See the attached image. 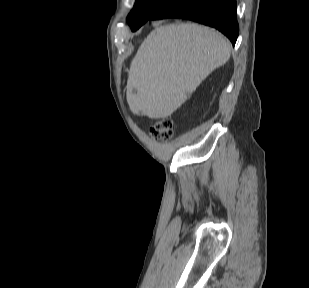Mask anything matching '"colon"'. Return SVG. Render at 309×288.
I'll return each instance as SVG.
<instances>
[{
  "label": "colon",
  "instance_id": "5ec220e1",
  "mask_svg": "<svg viewBox=\"0 0 309 288\" xmlns=\"http://www.w3.org/2000/svg\"><path fill=\"white\" fill-rule=\"evenodd\" d=\"M150 134L157 140L168 141L173 136V124L169 118H162L150 127Z\"/></svg>",
  "mask_w": 309,
  "mask_h": 288
}]
</instances>
